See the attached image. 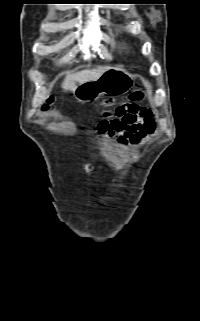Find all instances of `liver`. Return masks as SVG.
Listing matches in <instances>:
<instances>
[{"label": "liver", "instance_id": "6515ba94", "mask_svg": "<svg viewBox=\"0 0 200 321\" xmlns=\"http://www.w3.org/2000/svg\"><path fill=\"white\" fill-rule=\"evenodd\" d=\"M110 67H99L93 70H84L76 74H69L64 82L62 88L64 91H74L78 84H82L88 81L97 80L106 70Z\"/></svg>", "mask_w": 200, "mask_h": 321}]
</instances>
